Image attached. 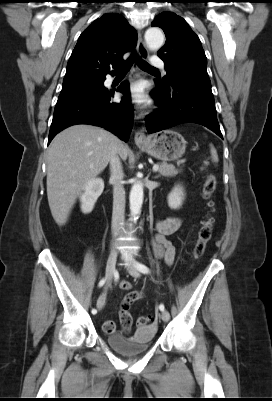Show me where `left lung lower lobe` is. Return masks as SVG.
Segmentation results:
<instances>
[{
    "mask_svg": "<svg viewBox=\"0 0 272 401\" xmlns=\"http://www.w3.org/2000/svg\"><path fill=\"white\" fill-rule=\"evenodd\" d=\"M151 94L161 107L146 119L149 133L181 123H197L223 139L211 87L173 81L168 86L157 83Z\"/></svg>",
    "mask_w": 272,
    "mask_h": 401,
    "instance_id": "obj_1",
    "label": "left lung lower lobe"
}]
</instances>
